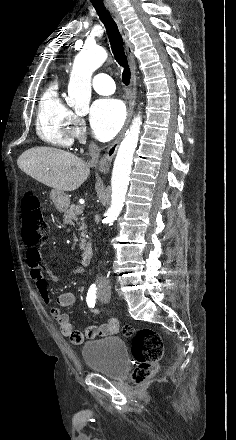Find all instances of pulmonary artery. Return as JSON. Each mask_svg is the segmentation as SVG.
Here are the masks:
<instances>
[{"mask_svg": "<svg viewBox=\"0 0 236 440\" xmlns=\"http://www.w3.org/2000/svg\"><path fill=\"white\" fill-rule=\"evenodd\" d=\"M92 86L93 89L101 95L112 94L115 90L113 79L105 73L96 74L93 77Z\"/></svg>", "mask_w": 236, "mask_h": 440, "instance_id": "obj_1", "label": "pulmonary artery"}]
</instances>
